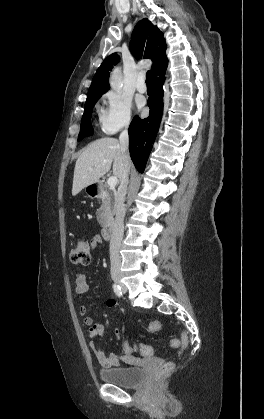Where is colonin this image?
Returning a JSON list of instances; mask_svg holds the SVG:
<instances>
[{"mask_svg": "<svg viewBox=\"0 0 264 419\" xmlns=\"http://www.w3.org/2000/svg\"><path fill=\"white\" fill-rule=\"evenodd\" d=\"M70 259L74 264L79 265H88L91 261L90 254V245L85 239H78L70 252ZM158 322H152L150 324L151 331H158ZM188 345V336L184 333L182 334L181 340L174 338L170 341V346L173 348H178L180 346L187 347ZM134 346V345H133ZM136 347V346H135ZM174 368L173 362H166L160 368V375L169 374Z\"/></svg>", "mask_w": 264, "mask_h": 419, "instance_id": "obj_1", "label": "colon"}]
</instances>
